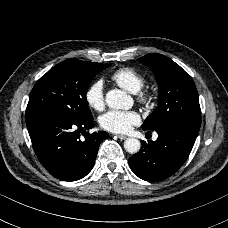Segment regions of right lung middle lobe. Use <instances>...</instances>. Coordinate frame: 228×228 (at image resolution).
Returning <instances> with one entry per match:
<instances>
[{"label":"right lung middle lobe","mask_w":228,"mask_h":228,"mask_svg":"<svg viewBox=\"0 0 228 228\" xmlns=\"http://www.w3.org/2000/svg\"><path fill=\"white\" fill-rule=\"evenodd\" d=\"M110 64L67 59L44 74L29 97L26 118L44 114H61L76 120H87L92 114L86 93L96 73Z\"/></svg>","instance_id":"right-lung-middle-lobe-1"}]
</instances>
